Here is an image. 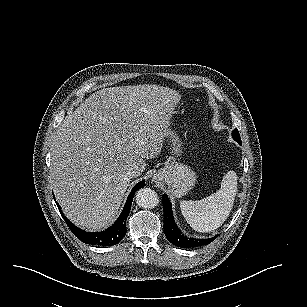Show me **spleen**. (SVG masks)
<instances>
[{
    "mask_svg": "<svg viewBox=\"0 0 307 307\" xmlns=\"http://www.w3.org/2000/svg\"><path fill=\"white\" fill-rule=\"evenodd\" d=\"M238 192V175L228 171L216 193L200 201H182L180 210L188 225L199 233L219 229L229 218Z\"/></svg>",
    "mask_w": 307,
    "mask_h": 307,
    "instance_id": "spleen-1",
    "label": "spleen"
}]
</instances>
